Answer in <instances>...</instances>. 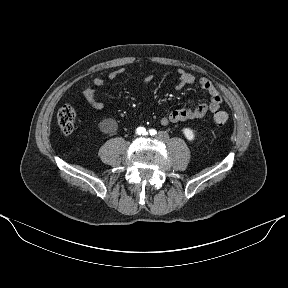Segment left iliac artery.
<instances>
[{
    "label": "left iliac artery",
    "instance_id": "left-iliac-artery-1",
    "mask_svg": "<svg viewBox=\"0 0 288 288\" xmlns=\"http://www.w3.org/2000/svg\"><path fill=\"white\" fill-rule=\"evenodd\" d=\"M156 133H157V132H156L155 129H150V130H149V134H150L151 136L155 135Z\"/></svg>",
    "mask_w": 288,
    "mask_h": 288
}]
</instances>
